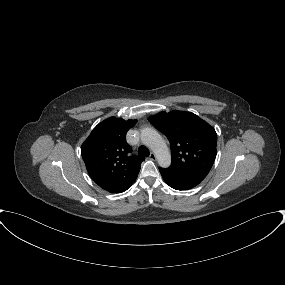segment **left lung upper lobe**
<instances>
[{
	"mask_svg": "<svg viewBox=\"0 0 285 285\" xmlns=\"http://www.w3.org/2000/svg\"><path fill=\"white\" fill-rule=\"evenodd\" d=\"M148 121L166 135L171 145L169 168L179 172L208 173L216 158L217 134L191 112H160Z\"/></svg>",
	"mask_w": 285,
	"mask_h": 285,
	"instance_id": "5c2ea615",
	"label": "left lung upper lobe"
}]
</instances>
